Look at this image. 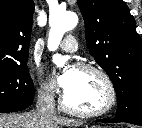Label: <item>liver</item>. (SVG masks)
I'll return each mask as SVG.
<instances>
[{
    "label": "liver",
    "instance_id": "1",
    "mask_svg": "<svg viewBox=\"0 0 142 128\" xmlns=\"http://www.w3.org/2000/svg\"><path fill=\"white\" fill-rule=\"evenodd\" d=\"M79 122L74 119L56 116L44 119L36 112L0 114V128H60L76 127Z\"/></svg>",
    "mask_w": 142,
    "mask_h": 128
}]
</instances>
